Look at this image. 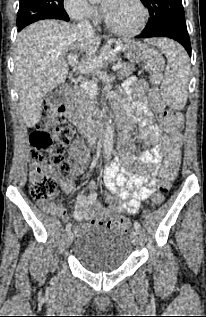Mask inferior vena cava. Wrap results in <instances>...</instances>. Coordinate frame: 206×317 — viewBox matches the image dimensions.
Instances as JSON below:
<instances>
[{
  "label": "inferior vena cava",
  "mask_w": 206,
  "mask_h": 317,
  "mask_svg": "<svg viewBox=\"0 0 206 317\" xmlns=\"http://www.w3.org/2000/svg\"><path fill=\"white\" fill-rule=\"evenodd\" d=\"M78 28L82 34L94 35V29L88 20L79 22Z\"/></svg>",
  "instance_id": "inferior-vena-cava-1"
}]
</instances>
